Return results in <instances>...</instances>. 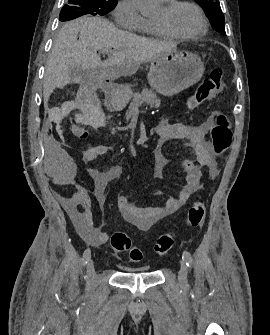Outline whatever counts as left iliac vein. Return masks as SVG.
<instances>
[{
    "label": "left iliac vein",
    "mask_w": 270,
    "mask_h": 335,
    "mask_svg": "<svg viewBox=\"0 0 270 335\" xmlns=\"http://www.w3.org/2000/svg\"><path fill=\"white\" fill-rule=\"evenodd\" d=\"M187 273L188 268L185 261H181L180 270L178 272V280L181 285H184L187 282Z\"/></svg>",
    "instance_id": "1"
}]
</instances>
